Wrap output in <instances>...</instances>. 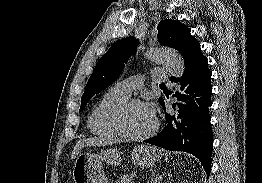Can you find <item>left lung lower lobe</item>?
<instances>
[{
    "label": "left lung lower lobe",
    "instance_id": "obj_1",
    "mask_svg": "<svg viewBox=\"0 0 262 183\" xmlns=\"http://www.w3.org/2000/svg\"><path fill=\"white\" fill-rule=\"evenodd\" d=\"M211 71L207 58L199 49L185 61V71L180 78L171 77L179 87L172 91L177 98L174 114L166 115L163 130L144 142L166 150L185 151L196 156L207 175L211 169L213 132L210 124ZM161 105L165 110L164 100Z\"/></svg>",
    "mask_w": 262,
    "mask_h": 183
}]
</instances>
